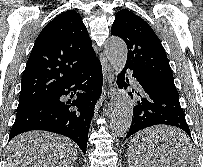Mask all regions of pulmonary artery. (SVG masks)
Masks as SVG:
<instances>
[{"instance_id": "pulmonary-artery-1", "label": "pulmonary artery", "mask_w": 203, "mask_h": 167, "mask_svg": "<svg viewBox=\"0 0 203 167\" xmlns=\"http://www.w3.org/2000/svg\"><path fill=\"white\" fill-rule=\"evenodd\" d=\"M130 81H131L132 84H134L135 86H138V85H139L138 81H137L135 78L131 77V76H130Z\"/></svg>"}]
</instances>
